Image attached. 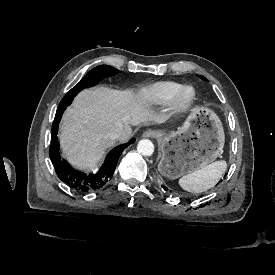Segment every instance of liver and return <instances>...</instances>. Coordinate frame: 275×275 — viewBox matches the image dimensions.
<instances>
[{
    "instance_id": "6515ba94",
    "label": "liver",
    "mask_w": 275,
    "mask_h": 275,
    "mask_svg": "<svg viewBox=\"0 0 275 275\" xmlns=\"http://www.w3.org/2000/svg\"><path fill=\"white\" fill-rule=\"evenodd\" d=\"M154 101L147 89L135 92L97 87L81 91L62 118L59 138L63 154L75 168H96L105 149L115 144L108 137L110 132L122 128L118 141L123 143L132 135L130 125L161 124L168 119L150 108Z\"/></svg>"
}]
</instances>
